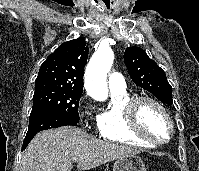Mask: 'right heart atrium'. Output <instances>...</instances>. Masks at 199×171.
<instances>
[{
	"mask_svg": "<svg viewBox=\"0 0 199 171\" xmlns=\"http://www.w3.org/2000/svg\"><path fill=\"white\" fill-rule=\"evenodd\" d=\"M79 112L82 116H86L91 124L97 125L98 123V116L92 113L88 109V98L87 96H83L79 101Z\"/></svg>",
	"mask_w": 199,
	"mask_h": 171,
	"instance_id": "obj_1",
	"label": "right heart atrium"
}]
</instances>
